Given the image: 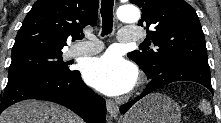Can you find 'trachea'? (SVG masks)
I'll return each mask as SVG.
<instances>
[{"instance_id": "trachea-1", "label": "trachea", "mask_w": 221, "mask_h": 123, "mask_svg": "<svg viewBox=\"0 0 221 123\" xmlns=\"http://www.w3.org/2000/svg\"><path fill=\"white\" fill-rule=\"evenodd\" d=\"M113 6L114 0H102L101 2L102 36L112 32Z\"/></svg>"}]
</instances>
